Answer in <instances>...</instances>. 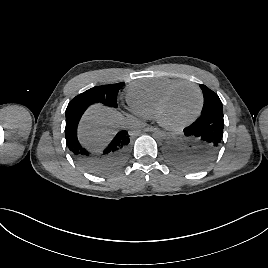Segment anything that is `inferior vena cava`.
I'll return each mask as SVG.
<instances>
[{"instance_id":"1","label":"inferior vena cava","mask_w":268,"mask_h":268,"mask_svg":"<svg viewBox=\"0 0 268 268\" xmlns=\"http://www.w3.org/2000/svg\"><path fill=\"white\" fill-rule=\"evenodd\" d=\"M123 124H124V125H128V124H129V121H128V120H124V121H123Z\"/></svg>"}]
</instances>
